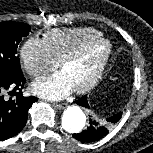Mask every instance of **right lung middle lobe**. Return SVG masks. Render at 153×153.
Returning <instances> with one entry per match:
<instances>
[{
	"label": "right lung middle lobe",
	"instance_id": "1",
	"mask_svg": "<svg viewBox=\"0 0 153 153\" xmlns=\"http://www.w3.org/2000/svg\"><path fill=\"white\" fill-rule=\"evenodd\" d=\"M30 32L29 25L25 23L3 21L0 22V73L10 76H23L17 46L22 37Z\"/></svg>",
	"mask_w": 153,
	"mask_h": 153
}]
</instances>
